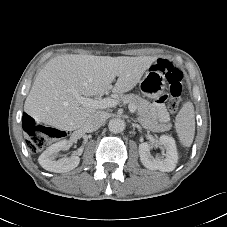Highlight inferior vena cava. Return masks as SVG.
I'll return each mask as SVG.
<instances>
[{
	"instance_id": "obj_1",
	"label": "inferior vena cava",
	"mask_w": 227,
	"mask_h": 227,
	"mask_svg": "<svg viewBox=\"0 0 227 227\" xmlns=\"http://www.w3.org/2000/svg\"><path fill=\"white\" fill-rule=\"evenodd\" d=\"M106 113L98 111L95 114L89 116L84 124L86 132H93L99 129L106 121Z\"/></svg>"
}]
</instances>
